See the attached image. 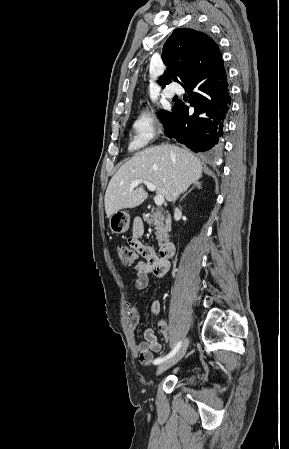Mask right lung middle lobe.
Wrapping results in <instances>:
<instances>
[{"label":"right lung middle lobe","mask_w":289,"mask_h":449,"mask_svg":"<svg viewBox=\"0 0 289 449\" xmlns=\"http://www.w3.org/2000/svg\"><path fill=\"white\" fill-rule=\"evenodd\" d=\"M159 118L161 119L164 128L168 125L172 112L161 110L159 113Z\"/></svg>","instance_id":"right-lung-middle-lobe-1"}]
</instances>
